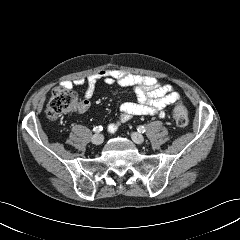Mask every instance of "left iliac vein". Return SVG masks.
<instances>
[{
  "label": "left iliac vein",
  "mask_w": 240,
  "mask_h": 240,
  "mask_svg": "<svg viewBox=\"0 0 240 240\" xmlns=\"http://www.w3.org/2000/svg\"><path fill=\"white\" fill-rule=\"evenodd\" d=\"M131 138L136 144H142L144 142V137L137 132L131 133Z\"/></svg>",
  "instance_id": "obj_1"
}]
</instances>
